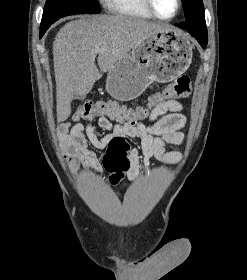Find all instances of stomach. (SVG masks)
Listing matches in <instances>:
<instances>
[{
  "label": "stomach",
  "instance_id": "obj_1",
  "mask_svg": "<svg viewBox=\"0 0 247 280\" xmlns=\"http://www.w3.org/2000/svg\"><path fill=\"white\" fill-rule=\"evenodd\" d=\"M192 54V45L177 30L154 33L115 63L108 72L106 89L116 100H133L151 83H166L184 73Z\"/></svg>",
  "mask_w": 247,
  "mask_h": 280
}]
</instances>
